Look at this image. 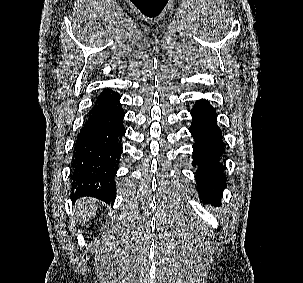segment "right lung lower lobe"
Instances as JSON below:
<instances>
[{
    "label": "right lung lower lobe",
    "instance_id": "1",
    "mask_svg": "<svg viewBox=\"0 0 303 283\" xmlns=\"http://www.w3.org/2000/svg\"><path fill=\"white\" fill-rule=\"evenodd\" d=\"M119 100L118 93L103 90L77 136L72 161L74 199L91 196L114 204V172L122 153L120 141L126 132Z\"/></svg>",
    "mask_w": 303,
    "mask_h": 283
}]
</instances>
